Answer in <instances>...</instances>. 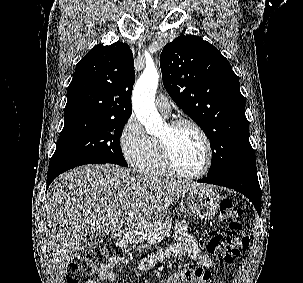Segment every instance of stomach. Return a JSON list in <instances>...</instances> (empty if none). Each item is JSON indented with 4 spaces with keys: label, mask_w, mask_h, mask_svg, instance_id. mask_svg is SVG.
<instances>
[{
    "label": "stomach",
    "mask_w": 303,
    "mask_h": 283,
    "mask_svg": "<svg viewBox=\"0 0 303 283\" xmlns=\"http://www.w3.org/2000/svg\"><path fill=\"white\" fill-rule=\"evenodd\" d=\"M220 202L221 198L217 192L209 187L199 186L188 192L186 206L182 207L181 211L184 216L192 214L200 219L207 220L215 216ZM165 218L168 220L165 215L160 217L159 220Z\"/></svg>",
    "instance_id": "0dacf381"
}]
</instances>
